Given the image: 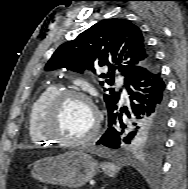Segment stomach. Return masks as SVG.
<instances>
[{"instance_id": "1", "label": "stomach", "mask_w": 188, "mask_h": 189, "mask_svg": "<svg viewBox=\"0 0 188 189\" xmlns=\"http://www.w3.org/2000/svg\"><path fill=\"white\" fill-rule=\"evenodd\" d=\"M97 171L98 164L90 155L70 151L38 160L34 163L31 175L44 183L79 188L91 180Z\"/></svg>"}]
</instances>
